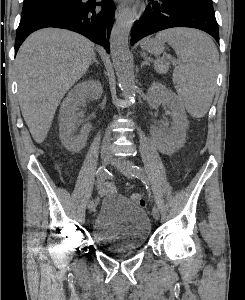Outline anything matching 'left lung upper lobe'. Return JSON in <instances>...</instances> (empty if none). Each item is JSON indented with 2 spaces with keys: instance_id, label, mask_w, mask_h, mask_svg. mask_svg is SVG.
<instances>
[{
  "instance_id": "left-lung-upper-lobe-1",
  "label": "left lung upper lobe",
  "mask_w": 245,
  "mask_h": 300,
  "mask_svg": "<svg viewBox=\"0 0 245 300\" xmlns=\"http://www.w3.org/2000/svg\"><path fill=\"white\" fill-rule=\"evenodd\" d=\"M205 1L212 3V0H205Z\"/></svg>"
}]
</instances>
